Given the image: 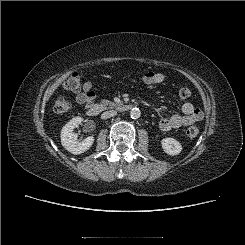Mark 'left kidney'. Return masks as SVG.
I'll use <instances>...</instances> for the list:
<instances>
[{"label": "left kidney", "mask_w": 245, "mask_h": 245, "mask_svg": "<svg viewBox=\"0 0 245 245\" xmlns=\"http://www.w3.org/2000/svg\"><path fill=\"white\" fill-rule=\"evenodd\" d=\"M164 152L168 155L175 156L182 151V146L179 141L174 138H164L161 141Z\"/></svg>", "instance_id": "left-kidney-1"}]
</instances>
